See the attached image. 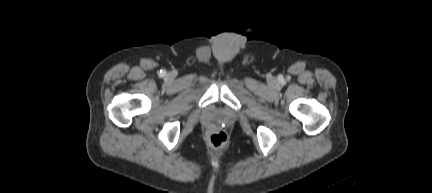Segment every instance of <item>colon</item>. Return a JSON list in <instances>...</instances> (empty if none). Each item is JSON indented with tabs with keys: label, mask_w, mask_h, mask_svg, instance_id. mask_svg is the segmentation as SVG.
I'll use <instances>...</instances> for the list:
<instances>
[{
	"label": "colon",
	"mask_w": 432,
	"mask_h": 193,
	"mask_svg": "<svg viewBox=\"0 0 432 193\" xmlns=\"http://www.w3.org/2000/svg\"><path fill=\"white\" fill-rule=\"evenodd\" d=\"M209 140L213 147L221 148L227 142V135L223 131H216L210 135Z\"/></svg>",
	"instance_id": "1"
}]
</instances>
